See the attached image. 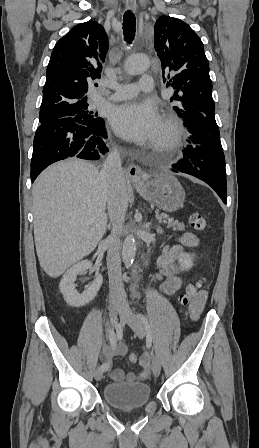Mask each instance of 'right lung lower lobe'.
Instances as JSON below:
<instances>
[{
    "mask_svg": "<svg viewBox=\"0 0 259 448\" xmlns=\"http://www.w3.org/2000/svg\"><path fill=\"white\" fill-rule=\"evenodd\" d=\"M105 122L101 119L93 125H83L67 117L41 124L34 137L31 159V180L50 164L77 157L98 160L108 148Z\"/></svg>",
    "mask_w": 259,
    "mask_h": 448,
    "instance_id": "98d812e1",
    "label": "right lung lower lobe"
}]
</instances>
